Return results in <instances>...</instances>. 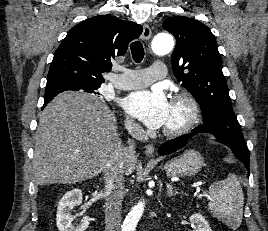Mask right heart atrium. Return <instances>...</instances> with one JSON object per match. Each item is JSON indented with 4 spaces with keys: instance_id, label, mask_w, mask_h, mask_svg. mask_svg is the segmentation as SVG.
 <instances>
[{
    "instance_id": "d8ad5b80",
    "label": "right heart atrium",
    "mask_w": 268,
    "mask_h": 231,
    "mask_svg": "<svg viewBox=\"0 0 268 231\" xmlns=\"http://www.w3.org/2000/svg\"><path fill=\"white\" fill-rule=\"evenodd\" d=\"M126 124L131 129L137 128V124L129 118L126 120Z\"/></svg>"
}]
</instances>
